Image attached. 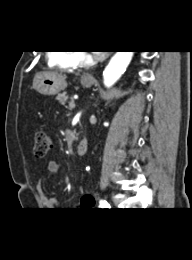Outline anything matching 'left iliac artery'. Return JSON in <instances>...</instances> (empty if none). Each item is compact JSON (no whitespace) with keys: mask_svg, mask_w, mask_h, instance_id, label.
Wrapping results in <instances>:
<instances>
[{"mask_svg":"<svg viewBox=\"0 0 192 260\" xmlns=\"http://www.w3.org/2000/svg\"><path fill=\"white\" fill-rule=\"evenodd\" d=\"M100 207H101L102 209H108V208H110V205L107 203L106 200L101 199V200H100Z\"/></svg>","mask_w":192,"mask_h":260,"instance_id":"1","label":"left iliac artery"}]
</instances>
